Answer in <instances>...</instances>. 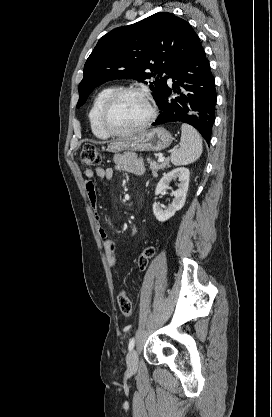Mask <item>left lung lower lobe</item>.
<instances>
[{"label":"left lung lower lobe","instance_id":"1","mask_svg":"<svg viewBox=\"0 0 272 417\" xmlns=\"http://www.w3.org/2000/svg\"><path fill=\"white\" fill-rule=\"evenodd\" d=\"M173 89L166 85L157 105L160 115L153 125L184 122L194 126L210 142L215 122L216 89L209 61L201 47L171 72ZM172 91L178 96L171 98Z\"/></svg>","mask_w":272,"mask_h":417}]
</instances>
